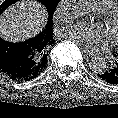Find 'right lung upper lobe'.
<instances>
[{
  "instance_id": "cb5924a9",
  "label": "right lung upper lobe",
  "mask_w": 118,
  "mask_h": 118,
  "mask_svg": "<svg viewBox=\"0 0 118 118\" xmlns=\"http://www.w3.org/2000/svg\"><path fill=\"white\" fill-rule=\"evenodd\" d=\"M52 20H48L46 28L32 39L35 46L36 58L35 66L37 72H42L47 66V55L53 44Z\"/></svg>"
}]
</instances>
